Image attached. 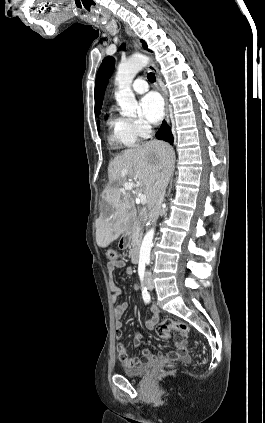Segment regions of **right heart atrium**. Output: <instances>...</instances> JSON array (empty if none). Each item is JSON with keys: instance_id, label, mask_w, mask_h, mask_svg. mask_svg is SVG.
I'll list each match as a JSON object with an SVG mask.
<instances>
[{"instance_id": "obj_1", "label": "right heart atrium", "mask_w": 265, "mask_h": 423, "mask_svg": "<svg viewBox=\"0 0 265 423\" xmlns=\"http://www.w3.org/2000/svg\"><path fill=\"white\" fill-rule=\"evenodd\" d=\"M130 125L133 134L138 139L147 137L152 130L151 126L141 119H131Z\"/></svg>"}]
</instances>
